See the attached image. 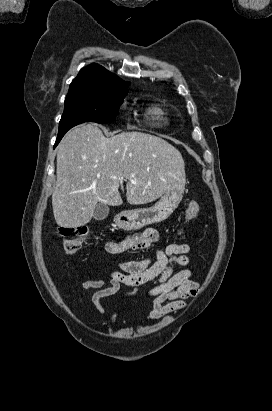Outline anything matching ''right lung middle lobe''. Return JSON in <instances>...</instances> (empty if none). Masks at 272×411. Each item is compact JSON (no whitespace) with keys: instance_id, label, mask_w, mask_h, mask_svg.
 <instances>
[{"instance_id":"1","label":"right lung middle lobe","mask_w":272,"mask_h":411,"mask_svg":"<svg viewBox=\"0 0 272 411\" xmlns=\"http://www.w3.org/2000/svg\"><path fill=\"white\" fill-rule=\"evenodd\" d=\"M127 92L121 88H102L68 93L59 123L58 137L64 136L69 129L84 122H111Z\"/></svg>"}]
</instances>
